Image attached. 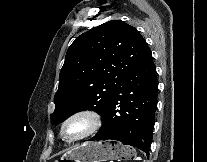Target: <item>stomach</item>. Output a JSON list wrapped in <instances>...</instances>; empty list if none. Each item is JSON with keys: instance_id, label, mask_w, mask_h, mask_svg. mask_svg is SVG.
<instances>
[{"instance_id": "stomach-1", "label": "stomach", "mask_w": 207, "mask_h": 162, "mask_svg": "<svg viewBox=\"0 0 207 162\" xmlns=\"http://www.w3.org/2000/svg\"><path fill=\"white\" fill-rule=\"evenodd\" d=\"M135 151L128 145L111 141L85 142L70 150L61 160L75 162H105L108 160H129ZM58 162V161H57Z\"/></svg>"}]
</instances>
